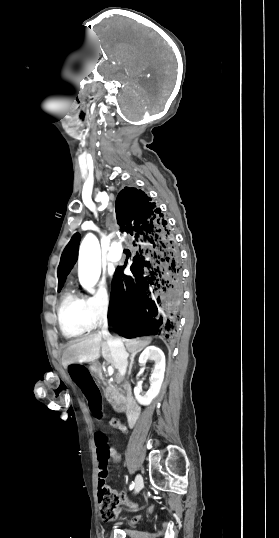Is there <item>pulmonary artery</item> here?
Masks as SVG:
<instances>
[{"mask_svg": "<svg viewBox=\"0 0 279 538\" xmlns=\"http://www.w3.org/2000/svg\"><path fill=\"white\" fill-rule=\"evenodd\" d=\"M118 258L116 257H110L105 260V265L108 269L114 268V266L117 264Z\"/></svg>", "mask_w": 279, "mask_h": 538, "instance_id": "obj_1", "label": "pulmonary artery"}]
</instances>
